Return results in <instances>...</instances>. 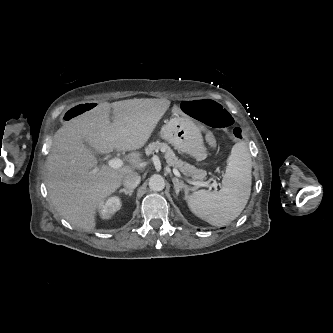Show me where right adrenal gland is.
Instances as JSON below:
<instances>
[{
    "label": "right adrenal gland",
    "mask_w": 333,
    "mask_h": 333,
    "mask_svg": "<svg viewBox=\"0 0 333 333\" xmlns=\"http://www.w3.org/2000/svg\"><path fill=\"white\" fill-rule=\"evenodd\" d=\"M119 192L120 193H124L125 195H128V196L131 197L132 193H133V190L132 189H125V188H123V189H120Z\"/></svg>",
    "instance_id": "right-adrenal-gland-1"
}]
</instances>
